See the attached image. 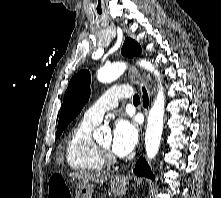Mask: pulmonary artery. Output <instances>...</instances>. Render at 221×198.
<instances>
[{
  "label": "pulmonary artery",
  "mask_w": 221,
  "mask_h": 198,
  "mask_svg": "<svg viewBox=\"0 0 221 198\" xmlns=\"http://www.w3.org/2000/svg\"><path fill=\"white\" fill-rule=\"evenodd\" d=\"M132 95L130 87L122 85L107 90L89 109L84 112L83 120L94 124L100 123L104 113L118 105L120 99Z\"/></svg>",
  "instance_id": "obj_1"
}]
</instances>
